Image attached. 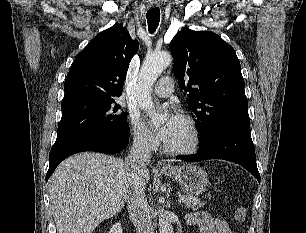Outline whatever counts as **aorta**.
<instances>
[{"label":"aorta","instance_id":"obj_1","mask_svg":"<svg viewBox=\"0 0 306 233\" xmlns=\"http://www.w3.org/2000/svg\"><path fill=\"white\" fill-rule=\"evenodd\" d=\"M172 57L168 52L154 53L146 57L139 75H138V92L137 101L139 106L152 115V120L157 121L155 107L150 95V91L155 81L158 79L164 69L169 66ZM159 232L173 233L172 224L163 212L159 213Z\"/></svg>","mask_w":306,"mask_h":233}]
</instances>
